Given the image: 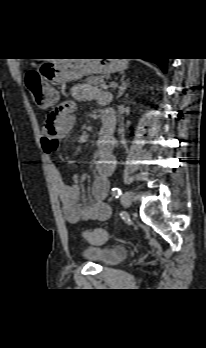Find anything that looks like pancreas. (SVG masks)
Listing matches in <instances>:
<instances>
[{
    "label": "pancreas",
    "mask_w": 206,
    "mask_h": 348,
    "mask_svg": "<svg viewBox=\"0 0 206 348\" xmlns=\"http://www.w3.org/2000/svg\"><path fill=\"white\" fill-rule=\"evenodd\" d=\"M108 76L106 75H100V76H89L85 82L89 85H92L96 88L101 89H107V85L105 83V79H107Z\"/></svg>",
    "instance_id": "1"
}]
</instances>
